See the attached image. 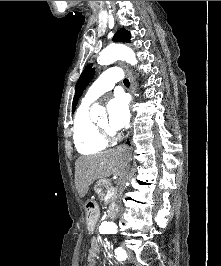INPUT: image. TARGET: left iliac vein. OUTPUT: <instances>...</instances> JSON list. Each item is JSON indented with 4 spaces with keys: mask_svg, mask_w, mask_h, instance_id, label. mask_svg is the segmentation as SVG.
<instances>
[{
    "mask_svg": "<svg viewBox=\"0 0 221 266\" xmlns=\"http://www.w3.org/2000/svg\"><path fill=\"white\" fill-rule=\"evenodd\" d=\"M127 257H128V259L133 258V253L130 250H127Z\"/></svg>",
    "mask_w": 221,
    "mask_h": 266,
    "instance_id": "1",
    "label": "left iliac vein"
}]
</instances>
